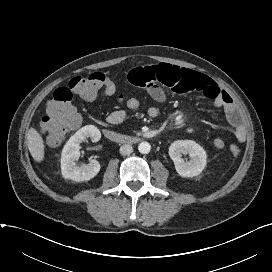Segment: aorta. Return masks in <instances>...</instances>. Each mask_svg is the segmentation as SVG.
Here are the masks:
<instances>
[{
    "label": "aorta",
    "instance_id": "obj_1",
    "mask_svg": "<svg viewBox=\"0 0 272 272\" xmlns=\"http://www.w3.org/2000/svg\"><path fill=\"white\" fill-rule=\"evenodd\" d=\"M138 150L141 154H148L151 150V146L148 142H141L138 145Z\"/></svg>",
    "mask_w": 272,
    "mask_h": 272
}]
</instances>
